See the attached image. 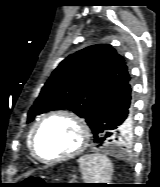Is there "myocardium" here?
Instances as JSON below:
<instances>
[{
  "label": "myocardium",
  "instance_id": "f54148a6",
  "mask_svg": "<svg viewBox=\"0 0 160 187\" xmlns=\"http://www.w3.org/2000/svg\"><path fill=\"white\" fill-rule=\"evenodd\" d=\"M55 116H64V117L71 119L78 126L81 139H80L79 145L74 150L69 152L68 154L62 155V156L54 158V159H44L40 156V154L37 151L36 138H37L38 132H39L41 126L43 125V123L46 120H48L52 117H55ZM90 136H91V131H90V127H89L87 121L78 113H76L74 111H70V110L52 111V112L45 114L43 117H41L34 125L32 132H31V137H30L31 153L41 163L56 164V163L71 159V158L79 155L81 152H83L89 143Z\"/></svg>",
  "mask_w": 160,
  "mask_h": 187
}]
</instances>
